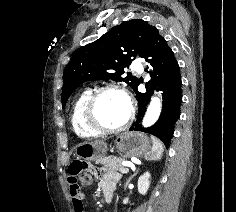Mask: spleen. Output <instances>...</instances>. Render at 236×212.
<instances>
[{
    "instance_id": "obj_1",
    "label": "spleen",
    "mask_w": 236,
    "mask_h": 212,
    "mask_svg": "<svg viewBox=\"0 0 236 212\" xmlns=\"http://www.w3.org/2000/svg\"><path fill=\"white\" fill-rule=\"evenodd\" d=\"M151 139H152V148L145 155V159L148 161H156L161 159L164 147L161 141H159L156 137L152 136Z\"/></svg>"
}]
</instances>
